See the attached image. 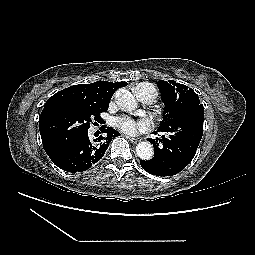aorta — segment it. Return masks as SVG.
I'll list each match as a JSON object with an SVG mask.
<instances>
[{
  "label": "aorta",
  "instance_id": "aorta-1",
  "mask_svg": "<svg viewBox=\"0 0 255 255\" xmlns=\"http://www.w3.org/2000/svg\"><path fill=\"white\" fill-rule=\"evenodd\" d=\"M117 105L125 111H132L136 108L137 102L132 93L124 88L115 92ZM136 153L142 160H150L154 155V149L148 141L139 142L136 146Z\"/></svg>",
  "mask_w": 255,
  "mask_h": 255
}]
</instances>
